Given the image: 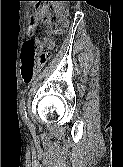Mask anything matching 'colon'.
Here are the masks:
<instances>
[{
    "instance_id": "colon-1",
    "label": "colon",
    "mask_w": 123,
    "mask_h": 167,
    "mask_svg": "<svg viewBox=\"0 0 123 167\" xmlns=\"http://www.w3.org/2000/svg\"><path fill=\"white\" fill-rule=\"evenodd\" d=\"M39 20L50 26L52 34H61L67 27L68 15L66 10H62L57 19L53 21L47 7L43 5L36 9V17L32 21V25ZM45 47L43 49L39 40L33 36L24 42L21 55V76L25 82H30L36 67L45 63L49 58L48 49L52 47L51 39L46 40Z\"/></svg>"
}]
</instances>
